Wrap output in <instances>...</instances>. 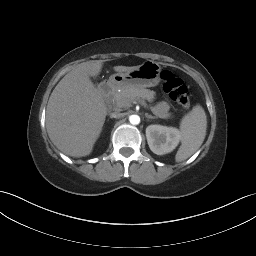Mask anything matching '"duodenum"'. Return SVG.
<instances>
[{"mask_svg":"<svg viewBox=\"0 0 256 256\" xmlns=\"http://www.w3.org/2000/svg\"><path fill=\"white\" fill-rule=\"evenodd\" d=\"M114 90V84L110 81L104 82L99 86V93L102 97H108Z\"/></svg>","mask_w":256,"mask_h":256,"instance_id":"1","label":"duodenum"}]
</instances>
